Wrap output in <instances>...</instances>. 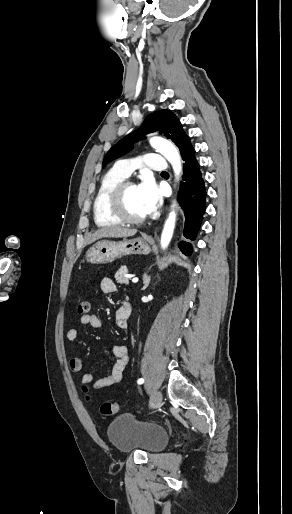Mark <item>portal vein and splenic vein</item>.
I'll use <instances>...</instances> for the list:
<instances>
[{"label": "portal vein and splenic vein", "instance_id": "1", "mask_svg": "<svg viewBox=\"0 0 292 514\" xmlns=\"http://www.w3.org/2000/svg\"><path fill=\"white\" fill-rule=\"evenodd\" d=\"M132 282L135 284V282H138V278H133Z\"/></svg>", "mask_w": 292, "mask_h": 514}]
</instances>
